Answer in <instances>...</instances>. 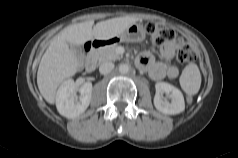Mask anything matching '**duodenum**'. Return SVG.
Returning <instances> with one entry per match:
<instances>
[{
  "label": "duodenum",
  "instance_id": "obj_1",
  "mask_svg": "<svg viewBox=\"0 0 238 158\" xmlns=\"http://www.w3.org/2000/svg\"><path fill=\"white\" fill-rule=\"evenodd\" d=\"M110 43L111 41L108 40H95L92 43H88L86 45L88 56L86 58L85 68L88 72H92L96 68V51L106 45H109Z\"/></svg>",
  "mask_w": 238,
  "mask_h": 158
}]
</instances>
